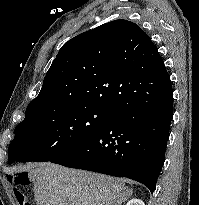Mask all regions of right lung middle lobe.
<instances>
[{
  "mask_svg": "<svg viewBox=\"0 0 199 205\" xmlns=\"http://www.w3.org/2000/svg\"><path fill=\"white\" fill-rule=\"evenodd\" d=\"M111 110L80 104H53L26 109L8 148L14 161H52L87 142L107 126Z\"/></svg>",
  "mask_w": 199,
  "mask_h": 205,
  "instance_id": "right-lung-middle-lobe-1",
  "label": "right lung middle lobe"
}]
</instances>
